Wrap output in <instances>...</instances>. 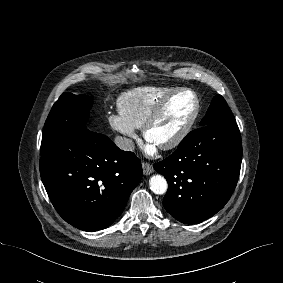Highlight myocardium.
<instances>
[{"label": "myocardium", "instance_id": "1", "mask_svg": "<svg viewBox=\"0 0 283 283\" xmlns=\"http://www.w3.org/2000/svg\"><path fill=\"white\" fill-rule=\"evenodd\" d=\"M188 93L193 97L194 100V108L185 122V124L181 127V129L168 141L158 145V147L162 150H170L178 146L191 132L194 124L196 123L199 113H200V100L197 96V94L190 89H176L172 91L170 94H168L165 98H163L151 111L147 119L145 120L143 126H142V133L144 138L147 141L149 140V131L152 128V126L155 124V122L158 120V118L162 115L166 107L170 104V102L177 97L178 95Z\"/></svg>", "mask_w": 283, "mask_h": 283}]
</instances>
